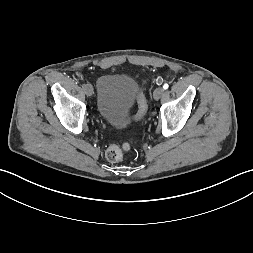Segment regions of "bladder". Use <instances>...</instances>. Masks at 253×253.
<instances>
[{
	"instance_id": "obj_1",
	"label": "bladder",
	"mask_w": 253,
	"mask_h": 253,
	"mask_svg": "<svg viewBox=\"0 0 253 253\" xmlns=\"http://www.w3.org/2000/svg\"><path fill=\"white\" fill-rule=\"evenodd\" d=\"M137 81L119 74L102 75L97 82V111L114 127L129 123L128 112L137 95Z\"/></svg>"
}]
</instances>
